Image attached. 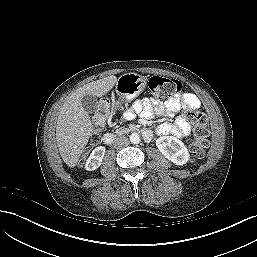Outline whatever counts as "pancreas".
<instances>
[{"instance_id":"pancreas-1","label":"pancreas","mask_w":257,"mask_h":257,"mask_svg":"<svg viewBox=\"0 0 257 257\" xmlns=\"http://www.w3.org/2000/svg\"><path fill=\"white\" fill-rule=\"evenodd\" d=\"M129 131H130L129 128H119V129H116L115 133L117 135H122V134L128 133Z\"/></svg>"}]
</instances>
